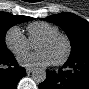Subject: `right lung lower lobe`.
<instances>
[{
    "mask_svg": "<svg viewBox=\"0 0 89 89\" xmlns=\"http://www.w3.org/2000/svg\"><path fill=\"white\" fill-rule=\"evenodd\" d=\"M25 75V68L18 66L10 51L0 55V89H15Z\"/></svg>",
    "mask_w": 89,
    "mask_h": 89,
    "instance_id": "obj_1",
    "label": "right lung lower lobe"
}]
</instances>
